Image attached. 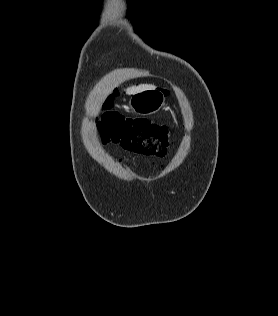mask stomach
Here are the masks:
<instances>
[{"label": "stomach", "instance_id": "stomach-1", "mask_svg": "<svg viewBox=\"0 0 278 316\" xmlns=\"http://www.w3.org/2000/svg\"><path fill=\"white\" fill-rule=\"evenodd\" d=\"M165 99L164 92L157 89H148L132 94L128 107L135 115H150L158 112L164 106Z\"/></svg>", "mask_w": 278, "mask_h": 316}]
</instances>
